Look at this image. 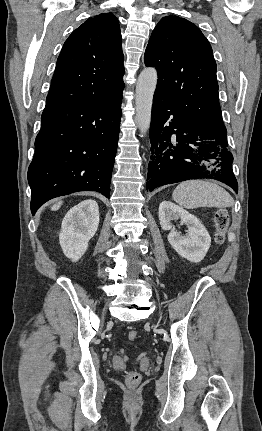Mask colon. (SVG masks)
<instances>
[{
    "instance_id": "5ec220e1",
    "label": "colon",
    "mask_w": 262,
    "mask_h": 431,
    "mask_svg": "<svg viewBox=\"0 0 262 431\" xmlns=\"http://www.w3.org/2000/svg\"><path fill=\"white\" fill-rule=\"evenodd\" d=\"M229 214L225 209H218L214 217L215 227V240L218 243H222L225 237L226 230L229 225ZM138 337L136 330H130L128 332V338L133 340ZM141 376L137 371H130L127 375V383L130 385H137L140 382Z\"/></svg>"
}]
</instances>
